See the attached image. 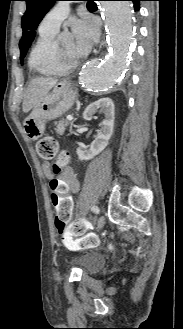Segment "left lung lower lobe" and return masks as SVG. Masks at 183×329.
<instances>
[{
    "label": "left lung lower lobe",
    "instance_id": "1",
    "mask_svg": "<svg viewBox=\"0 0 183 329\" xmlns=\"http://www.w3.org/2000/svg\"><path fill=\"white\" fill-rule=\"evenodd\" d=\"M134 3L135 5V9L138 10L139 9V2L142 1V0H130Z\"/></svg>",
    "mask_w": 183,
    "mask_h": 329
}]
</instances>
